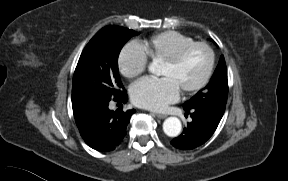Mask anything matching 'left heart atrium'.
<instances>
[{
  "mask_svg": "<svg viewBox=\"0 0 288 181\" xmlns=\"http://www.w3.org/2000/svg\"><path fill=\"white\" fill-rule=\"evenodd\" d=\"M179 96V89L167 77L144 78L131 88L133 102L142 108L160 111L168 104L175 102Z\"/></svg>",
  "mask_w": 288,
  "mask_h": 181,
  "instance_id": "1",
  "label": "left heart atrium"
}]
</instances>
